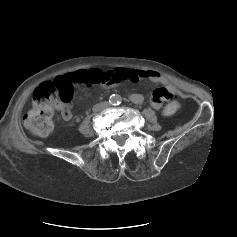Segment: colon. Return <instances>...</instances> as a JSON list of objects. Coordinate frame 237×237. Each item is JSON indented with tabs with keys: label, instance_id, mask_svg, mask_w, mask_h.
Wrapping results in <instances>:
<instances>
[{
	"label": "colon",
	"instance_id": "1",
	"mask_svg": "<svg viewBox=\"0 0 237 237\" xmlns=\"http://www.w3.org/2000/svg\"><path fill=\"white\" fill-rule=\"evenodd\" d=\"M106 81V74L100 70H80L41 84L33 93L32 106L24 117V126L33 135L47 136L53 129L54 108L58 100L69 103L75 86L103 84ZM178 108L179 103L174 99L166 105L162 113L170 116Z\"/></svg>",
	"mask_w": 237,
	"mask_h": 237
}]
</instances>
